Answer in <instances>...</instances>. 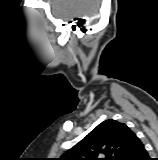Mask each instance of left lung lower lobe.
<instances>
[{
	"instance_id": "left-lung-lower-lobe-1",
	"label": "left lung lower lobe",
	"mask_w": 158,
	"mask_h": 160,
	"mask_svg": "<svg viewBox=\"0 0 158 160\" xmlns=\"http://www.w3.org/2000/svg\"><path fill=\"white\" fill-rule=\"evenodd\" d=\"M125 160H150L141 140L136 136Z\"/></svg>"
}]
</instances>
